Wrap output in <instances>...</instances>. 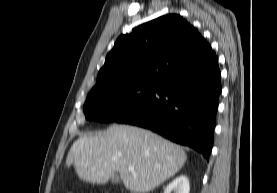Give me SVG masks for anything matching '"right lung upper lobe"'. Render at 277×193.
I'll list each match as a JSON object with an SVG mask.
<instances>
[{"instance_id":"right-lung-upper-lobe-1","label":"right lung upper lobe","mask_w":277,"mask_h":193,"mask_svg":"<svg viewBox=\"0 0 277 193\" xmlns=\"http://www.w3.org/2000/svg\"><path fill=\"white\" fill-rule=\"evenodd\" d=\"M212 53L207 41L182 16L164 15L118 37L90 93L135 85L158 88Z\"/></svg>"}]
</instances>
